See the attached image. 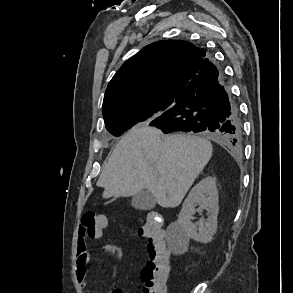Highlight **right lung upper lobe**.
I'll use <instances>...</instances> for the list:
<instances>
[{"label":"right lung upper lobe","mask_w":293,"mask_h":293,"mask_svg":"<svg viewBox=\"0 0 293 293\" xmlns=\"http://www.w3.org/2000/svg\"><path fill=\"white\" fill-rule=\"evenodd\" d=\"M209 62L203 49L186 41L164 40L144 47L110 81L103 101L104 119L172 101ZM171 105L166 104L163 112Z\"/></svg>","instance_id":"obj_1"}]
</instances>
